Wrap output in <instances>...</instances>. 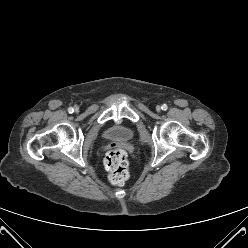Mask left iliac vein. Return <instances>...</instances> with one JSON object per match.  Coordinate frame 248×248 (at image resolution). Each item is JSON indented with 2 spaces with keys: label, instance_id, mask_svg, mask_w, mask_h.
Wrapping results in <instances>:
<instances>
[{
  "label": "left iliac vein",
  "instance_id": "4c4485c4",
  "mask_svg": "<svg viewBox=\"0 0 248 248\" xmlns=\"http://www.w3.org/2000/svg\"><path fill=\"white\" fill-rule=\"evenodd\" d=\"M156 111H157V112H160V111H161V107H160V106H157V107H156Z\"/></svg>",
  "mask_w": 248,
  "mask_h": 248
}]
</instances>
